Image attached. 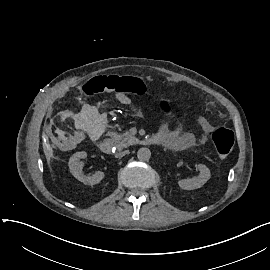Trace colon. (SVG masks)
Here are the masks:
<instances>
[{
    "mask_svg": "<svg viewBox=\"0 0 270 270\" xmlns=\"http://www.w3.org/2000/svg\"><path fill=\"white\" fill-rule=\"evenodd\" d=\"M106 90H113L135 97H144L147 94V88L143 82L131 76L98 78L95 82H88L83 87V93L89 97ZM158 107L165 114L175 115L174 108L166 101H160ZM212 141L218 156L226 157L233 149L234 133L227 127H218L212 132Z\"/></svg>",
    "mask_w": 270,
    "mask_h": 270,
    "instance_id": "5ec220e1",
    "label": "colon"
}]
</instances>
